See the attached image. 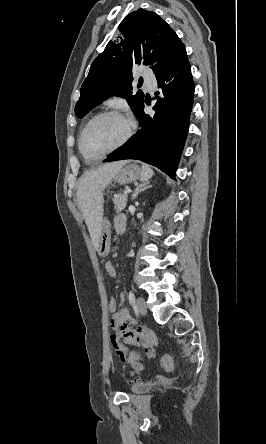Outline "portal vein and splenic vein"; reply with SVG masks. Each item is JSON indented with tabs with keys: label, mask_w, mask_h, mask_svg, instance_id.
Listing matches in <instances>:
<instances>
[{
	"label": "portal vein and splenic vein",
	"mask_w": 266,
	"mask_h": 444,
	"mask_svg": "<svg viewBox=\"0 0 266 444\" xmlns=\"http://www.w3.org/2000/svg\"><path fill=\"white\" fill-rule=\"evenodd\" d=\"M130 192H131V190L129 189V190L125 191L124 195H128Z\"/></svg>",
	"instance_id": "portal-vein-and-splenic-vein-1"
}]
</instances>
